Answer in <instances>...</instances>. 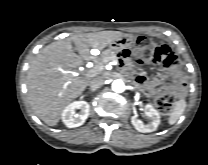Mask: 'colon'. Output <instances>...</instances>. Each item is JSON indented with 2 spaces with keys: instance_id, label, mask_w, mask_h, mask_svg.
<instances>
[{
  "instance_id": "obj_1",
  "label": "colon",
  "mask_w": 208,
  "mask_h": 165,
  "mask_svg": "<svg viewBox=\"0 0 208 165\" xmlns=\"http://www.w3.org/2000/svg\"><path fill=\"white\" fill-rule=\"evenodd\" d=\"M134 56L137 61L163 65L166 68L174 69L179 65L178 59L167 45H158L147 37H138ZM183 85L175 87L172 83L165 84L155 100L156 108L162 114H169L174 104L178 101V93L183 90Z\"/></svg>"
}]
</instances>
